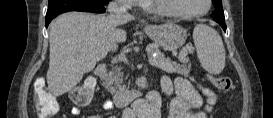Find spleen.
I'll return each instance as SVG.
<instances>
[{
    "instance_id": "obj_1",
    "label": "spleen",
    "mask_w": 273,
    "mask_h": 118,
    "mask_svg": "<svg viewBox=\"0 0 273 118\" xmlns=\"http://www.w3.org/2000/svg\"><path fill=\"white\" fill-rule=\"evenodd\" d=\"M193 39L201 66L211 74H220L225 67V49L218 32L210 26L198 24Z\"/></svg>"
}]
</instances>
